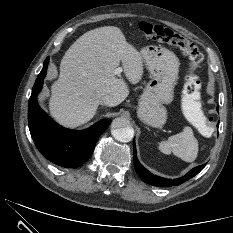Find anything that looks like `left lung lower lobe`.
<instances>
[{
	"label": "left lung lower lobe",
	"mask_w": 233,
	"mask_h": 233,
	"mask_svg": "<svg viewBox=\"0 0 233 233\" xmlns=\"http://www.w3.org/2000/svg\"><path fill=\"white\" fill-rule=\"evenodd\" d=\"M133 155H134V165H135V170L138 173V175L141 177V179L151 185L155 186H176L184 183L185 181L189 180L190 178L194 177L197 175L204 167L205 165H201L198 167H195L193 170L189 171L185 176L174 179V180H165L159 176H156L152 173H150L146 168H144L138 161L137 156H136V147H135V141H133Z\"/></svg>",
	"instance_id": "obj_1"
}]
</instances>
